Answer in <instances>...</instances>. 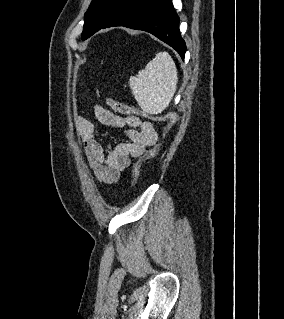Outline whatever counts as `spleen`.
<instances>
[{
    "label": "spleen",
    "instance_id": "spleen-1",
    "mask_svg": "<svg viewBox=\"0 0 284 319\" xmlns=\"http://www.w3.org/2000/svg\"><path fill=\"white\" fill-rule=\"evenodd\" d=\"M178 83L177 69L166 52L156 54L137 76H131L129 85L141 109L149 114L161 113L169 106Z\"/></svg>",
    "mask_w": 284,
    "mask_h": 319
}]
</instances>
